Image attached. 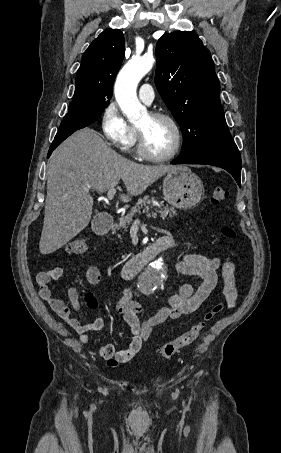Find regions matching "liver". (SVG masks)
I'll use <instances>...</instances> for the list:
<instances>
[{
	"label": "liver",
	"instance_id": "obj_1",
	"mask_svg": "<svg viewBox=\"0 0 281 453\" xmlns=\"http://www.w3.org/2000/svg\"><path fill=\"white\" fill-rule=\"evenodd\" d=\"M181 164H138L124 158L104 142L94 128H81L66 138L47 164V196L40 253L49 255L81 233L92 214L89 190H109L123 180L127 194L121 200L142 194L157 178L187 170ZM88 188V190H87Z\"/></svg>",
	"mask_w": 281,
	"mask_h": 453
}]
</instances>
